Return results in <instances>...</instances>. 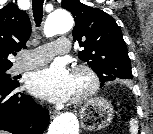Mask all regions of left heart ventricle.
<instances>
[{"mask_svg": "<svg viewBox=\"0 0 153 134\" xmlns=\"http://www.w3.org/2000/svg\"><path fill=\"white\" fill-rule=\"evenodd\" d=\"M72 77H73L72 97H75L86 89L87 79L84 75H72Z\"/></svg>", "mask_w": 153, "mask_h": 134, "instance_id": "left-heart-ventricle-1", "label": "left heart ventricle"}]
</instances>
